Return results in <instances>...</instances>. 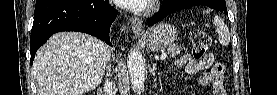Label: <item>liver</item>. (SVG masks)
I'll return each instance as SVG.
<instances>
[{
	"label": "liver",
	"instance_id": "liver-1",
	"mask_svg": "<svg viewBox=\"0 0 277 95\" xmlns=\"http://www.w3.org/2000/svg\"><path fill=\"white\" fill-rule=\"evenodd\" d=\"M111 49L93 36L61 32L36 53L33 76L39 95H84L102 80Z\"/></svg>",
	"mask_w": 277,
	"mask_h": 95
}]
</instances>
